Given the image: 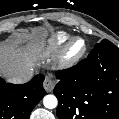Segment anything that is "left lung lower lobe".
I'll list each match as a JSON object with an SVG mask.
<instances>
[{
  "instance_id": "1",
  "label": "left lung lower lobe",
  "mask_w": 119,
  "mask_h": 119,
  "mask_svg": "<svg viewBox=\"0 0 119 119\" xmlns=\"http://www.w3.org/2000/svg\"><path fill=\"white\" fill-rule=\"evenodd\" d=\"M59 119H119V48L104 39L76 66L56 72Z\"/></svg>"
}]
</instances>
